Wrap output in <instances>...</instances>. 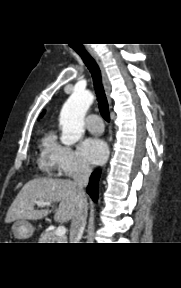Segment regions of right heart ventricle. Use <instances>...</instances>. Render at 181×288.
<instances>
[{"mask_svg":"<svg viewBox=\"0 0 181 288\" xmlns=\"http://www.w3.org/2000/svg\"><path fill=\"white\" fill-rule=\"evenodd\" d=\"M54 144V138L52 134L45 135L40 143L41 147V159L40 163L43 167L48 168L51 167L50 161V150Z\"/></svg>","mask_w":181,"mask_h":288,"instance_id":"e07e8e85","label":"right heart ventricle"}]
</instances>
